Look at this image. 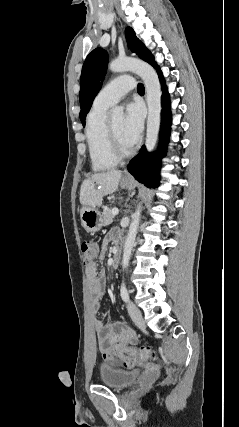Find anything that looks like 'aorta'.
I'll list each match as a JSON object with an SVG mask.
<instances>
[{
	"label": "aorta",
	"mask_w": 239,
	"mask_h": 427,
	"mask_svg": "<svg viewBox=\"0 0 239 427\" xmlns=\"http://www.w3.org/2000/svg\"><path fill=\"white\" fill-rule=\"evenodd\" d=\"M109 68L113 72L132 71L139 75L145 85L148 105V119H147V132H146V149L151 152L157 142L159 126H160V112H161V90L159 78L155 70L148 64L138 59L124 58L112 61ZM111 116L113 120L123 119V107L116 106L111 109ZM142 203H139L131 224L124 244L122 266L123 269L127 268L131 257V252L135 243L139 221L141 216Z\"/></svg>",
	"instance_id": "762f6f07"
}]
</instances>
